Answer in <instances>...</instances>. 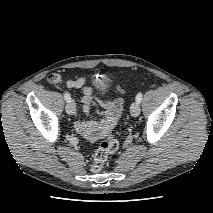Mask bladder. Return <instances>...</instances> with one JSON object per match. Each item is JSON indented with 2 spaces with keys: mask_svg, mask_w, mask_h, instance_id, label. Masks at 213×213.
Here are the masks:
<instances>
[{
  "mask_svg": "<svg viewBox=\"0 0 213 213\" xmlns=\"http://www.w3.org/2000/svg\"><path fill=\"white\" fill-rule=\"evenodd\" d=\"M94 83L100 91H106L111 85L109 78H107L106 76H101L95 79Z\"/></svg>",
  "mask_w": 213,
  "mask_h": 213,
  "instance_id": "1",
  "label": "bladder"
}]
</instances>
